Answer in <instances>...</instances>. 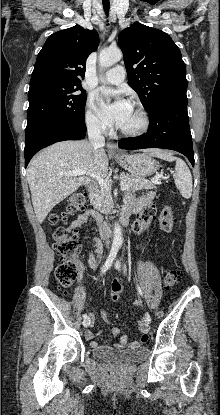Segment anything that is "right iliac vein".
Returning <instances> with one entry per match:
<instances>
[{
  "label": "right iliac vein",
  "instance_id": "right-iliac-vein-1",
  "mask_svg": "<svg viewBox=\"0 0 220 415\" xmlns=\"http://www.w3.org/2000/svg\"><path fill=\"white\" fill-rule=\"evenodd\" d=\"M83 326L84 327H88V326H90V324H91V319L90 318H87V319H84V321H83Z\"/></svg>",
  "mask_w": 220,
  "mask_h": 415
}]
</instances>
